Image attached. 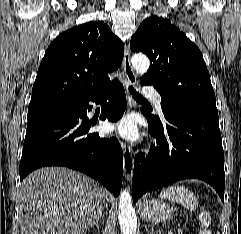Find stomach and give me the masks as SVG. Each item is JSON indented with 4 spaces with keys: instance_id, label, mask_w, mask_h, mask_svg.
Listing matches in <instances>:
<instances>
[{
    "instance_id": "obj_1",
    "label": "stomach",
    "mask_w": 241,
    "mask_h": 234,
    "mask_svg": "<svg viewBox=\"0 0 241 234\" xmlns=\"http://www.w3.org/2000/svg\"><path fill=\"white\" fill-rule=\"evenodd\" d=\"M141 215L154 223H160L167 220L171 215L170 207L161 200L148 199L140 205Z\"/></svg>"
}]
</instances>
